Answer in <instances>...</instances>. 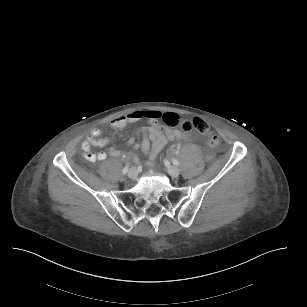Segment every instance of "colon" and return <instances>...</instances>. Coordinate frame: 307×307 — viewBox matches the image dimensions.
I'll return each mask as SVG.
<instances>
[{"mask_svg": "<svg viewBox=\"0 0 307 307\" xmlns=\"http://www.w3.org/2000/svg\"><path fill=\"white\" fill-rule=\"evenodd\" d=\"M162 119L163 122L170 127L177 128L181 124V129L185 132L195 130L206 138L207 144L211 147H215L219 144L218 134L213 131L202 118L195 117L180 122L176 114L166 113L163 115Z\"/></svg>", "mask_w": 307, "mask_h": 307, "instance_id": "colon-1", "label": "colon"}]
</instances>
